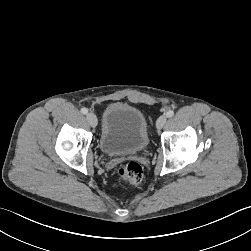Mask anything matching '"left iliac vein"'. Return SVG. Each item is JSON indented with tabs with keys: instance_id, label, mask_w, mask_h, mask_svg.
<instances>
[{
	"instance_id": "1",
	"label": "left iliac vein",
	"mask_w": 251,
	"mask_h": 251,
	"mask_svg": "<svg viewBox=\"0 0 251 251\" xmlns=\"http://www.w3.org/2000/svg\"><path fill=\"white\" fill-rule=\"evenodd\" d=\"M166 121H167V118L165 115L160 116L156 121L157 129H162L163 126L165 125Z\"/></svg>"
}]
</instances>
